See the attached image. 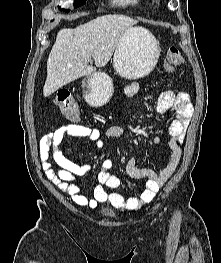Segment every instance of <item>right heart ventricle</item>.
Listing matches in <instances>:
<instances>
[{
  "mask_svg": "<svg viewBox=\"0 0 221 263\" xmlns=\"http://www.w3.org/2000/svg\"><path fill=\"white\" fill-rule=\"evenodd\" d=\"M114 2L122 6H140L142 4V0H114Z\"/></svg>",
  "mask_w": 221,
  "mask_h": 263,
  "instance_id": "1",
  "label": "right heart ventricle"
}]
</instances>
